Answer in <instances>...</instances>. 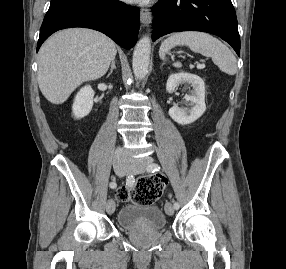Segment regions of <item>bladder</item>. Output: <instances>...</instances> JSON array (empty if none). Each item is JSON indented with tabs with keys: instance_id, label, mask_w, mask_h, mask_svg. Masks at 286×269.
<instances>
[{
	"instance_id": "obj_1",
	"label": "bladder",
	"mask_w": 286,
	"mask_h": 269,
	"mask_svg": "<svg viewBox=\"0 0 286 269\" xmlns=\"http://www.w3.org/2000/svg\"><path fill=\"white\" fill-rule=\"evenodd\" d=\"M117 223L125 231H161L167 225L162 210L153 205L128 203L117 214Z\"/></svg>"
}]
</instances>
